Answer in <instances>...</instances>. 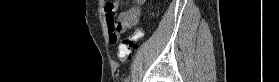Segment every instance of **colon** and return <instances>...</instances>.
<instances>
[{
	"label": "colon",
	"mask_w": 279,
	"mask_h": 82,
	"mask_svg": "<svg viewBox=\"0 0 279 82\" xmlns=\"http://www.w3.org/2000/svg\"><path fill=\"white\" fill-rule=\"evenodd\" d=\"M143 34V27L140 26L134 31V33L131 36L124 38L121 41L117 50V57L120 61H124L128 57L132 49H134L137 46V41L140 38H142Z\"/></svg>",
	"instance_id": "colon-1"
}]
</instances>
